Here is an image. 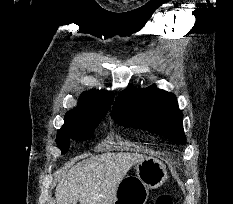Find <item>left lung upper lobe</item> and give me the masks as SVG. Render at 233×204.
Returning <instances> with one entry per match:
<instances>
[{"label": "left lung upper lobe", "instance_id": "left-lung-upper-lobe-1", "mask_svg": "<svg viewBox=\"0 0 233 204\" xmlns=\"http://www.w3.org/2000/svg\"><path fill=\"white\" fill-rule=\"evenodd\" d=\"M111 116L124 127L148 130L179 144L186 142L183 114L175 95L155 85L122 91L115 100Z\"/></svg>", "mask_w": 233, "mask_h": 204}]
</instances>
